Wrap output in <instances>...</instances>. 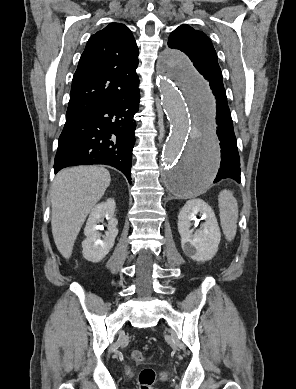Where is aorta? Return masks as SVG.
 <instances>
[{
	"instance_id": "aorta-1",
	"label": "aorta",
	"mask_w": 296,
	"mask_h": 389,
	"mask_svg": "<svg viewBox=\"0 0 296 389\" xmlns=\"http://www.w3.org/2000/svg\"><path fill=\"white\" fill-rule=\"evenodd\" d=\"M158 72L161 104L170 122L162 151L164 186L178 196L194 197L209 188L220 165L215 92L178 50L162 53Z\"/></svg>"
}]
</instances>
